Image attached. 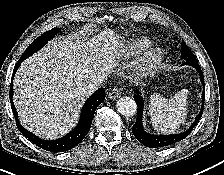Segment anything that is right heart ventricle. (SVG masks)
I'll return each mask as SVG.
<instances>
[{
    "label": "right heart ventricle",
    "instance_id": "1",
    "mask_svg": "<svg viewBox=\"0 0 224 175\" xmlns=\"http://www.w3.org/2000/svg\"><path fill=\"white\" fill-rule=\"evenodd\" d=\"M152 42L147 38H136L127 41L123 52L126 56H135L151 46Z\"/></svg>",
    "mask_w": 224,
    "mask_h": 175
}]
</instances>
